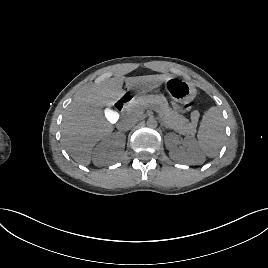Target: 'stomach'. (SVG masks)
<instances>
[{"instance_id": "obj_1", "label": "stomach", "mask_w": 268, "mask_h": 268, "mask_svg": "<svg viewBox=\"0 0 268 268\" xmlns=\"http://www.w3.org/2000/svg\"><path fill=\"white\" fill-rule=\"evenodd\" d=\"M165 82L169 94L174 100L185 103L194 99L196 88L190 82L176 77H170Z\"/></svg>"}]
</instances>
